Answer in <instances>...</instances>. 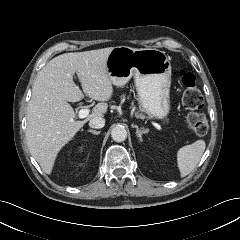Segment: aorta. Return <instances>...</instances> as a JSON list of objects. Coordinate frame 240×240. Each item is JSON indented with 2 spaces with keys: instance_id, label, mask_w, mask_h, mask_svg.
Wrapping results in <instances>:
<instances>
[{
  "instance_id": "762f6f07",
  "label": "aorta",
  "mask_w": 240,
  "mask_h": 240,
  "mask_svg": "<svg viewBox=\"0 0 240 240\" xmlns=\"http://www.w3.org/2000/svg\"><path fill=\"white\" fill-rule=\"evenodd\" d=\"M111 137L115 142H123L127 138V131L123 126H115L111 131Z\"/></svg>"
}]
</instances>
